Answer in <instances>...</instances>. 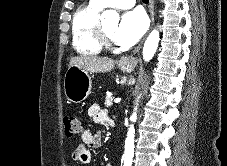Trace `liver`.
I'll list each match as a JSON object with an SVG mask.
<instances>
[{
	"mask_svg": "<svg viewBox=\"0 0 227 166\" xmlns=\"http://www.w3.org/2000/svg\"><path fill=\"white\" fill-rule=\"evenodd\" d=\"M76 66L87 72L105 73L111 71L114 66V60L98 56H76L72 57L69 67Z\"/></svg>",
	"mask_w": 227,
	"mask_h": 166,
	"instance_id": "1",
	"label": "liver"
}]
</instances>
